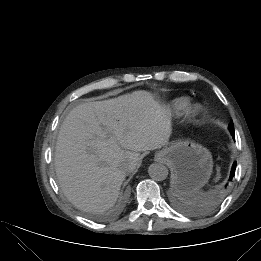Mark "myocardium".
<instances>
[{"label": "myocardium", "instance_id": "1", "mask_svg": "<svg viewBox=\"0 0 261 261\" xmlns=\"http://www.w3.org/2000/svg\"><path fill=\"white\" fill-rule=\"evenodd\" d=\"M199 108L198 107H195L191 110V113L195 114L196 112H198Z\"/></svg>", "mask_w": 261, "mask_h": 261}]
</instances>
